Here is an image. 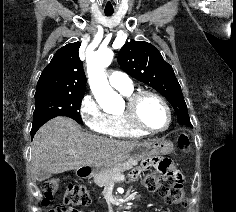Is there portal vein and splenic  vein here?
Wrapping results in <instances>:
<instances>
[{"instance_id": "1", "label": "portal vein and splenic vein", "mask_w": 236, "mask_h": 212, "mask_svg": "<svg viewBox=\"0 0 236 212\" xmlns=\"http://www.w3.org/2000/svg\"><path fill=\"white\" fill-rule=\"evenodd\" d=\"M67 154H70V155H75L76 154V151L75 150H69L66 152ZM119 179H123V176H121Z\"/></svg>"}]
</instances>
